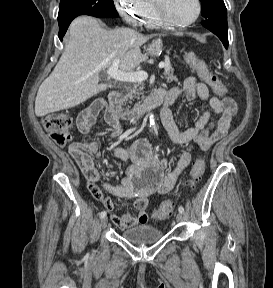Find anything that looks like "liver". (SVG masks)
Segmentation results:
<instances>
[{
    "instance_id": "6515ba94",
    "label": "liver",
    "mask_w": 273,
    "mask_h": 288,
    "mask_svg": "<svg viewBox=\"0 0 273 288\" xmlns=\"http://www.w3.org/2000/svg\"><path fill=\"white\" fill-rule=\"evenodd\" d=\"M151 37L130 28L106 30L89 16L74 19L62 56L38 89L36 116L75 107L106 90L107 84H99V73L116 59L120 71L132 72L146 60L140 47Z\"/></svg>"
}]
</instances>
